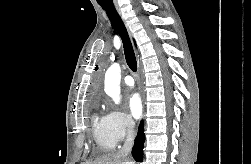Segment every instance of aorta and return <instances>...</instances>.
Masks as SVG:
<instances>
[{"instance_id": "762f6f07", "label": "aorta", "mask_w": 251, "mask_h": 164, "mask_svg": "<svg viewBox=\"0 0 251 164\" xmlns=\"http://www.w3.org/2000/svg\"><path fill=\"white\" fill-rule=\"evenodd\" d=\"M121 67L118 63L111 65L105 74L104 90L114 100L120 102Z\"/></svg>"}]
</instances>
